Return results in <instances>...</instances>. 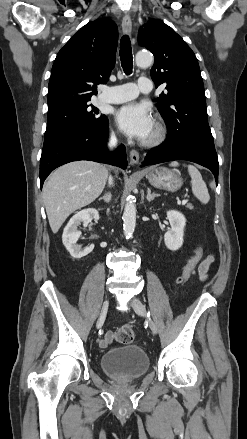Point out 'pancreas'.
<instances>
[{
	"label": "pancreas",
	"mask_w": 247,
	"mask_h": 439,
	"mask_svg": "<svg viewBox=\"0 0 247 439\" xmlns=\"http://www.w3.org/2000/svg\"><path fill=\"white\" fill-rule=\"evenodd\" d=\"M187 208L190 209V210H192V209H193V206H192L191 204H187Z\"/></svg>",
	"instance_id": "pancreas-1"
}]
</instances>
